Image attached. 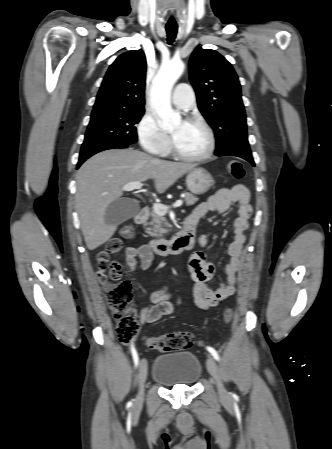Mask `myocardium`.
I'll return each mask as SVG.
<instances>
[{"label": "myocardium", "mask_w": 332, "mask_h": 449, "mask_svg": "<svg viewBox=\"0 0 332 449\" xmlns=\"http://www.w3.org/2000/svg\"><path fill=\"white\" fill-rule=\"evenodd\" d=\"M187 123L196 124L204 130V132L207 136V141H208L207 148L201 154L188 155V154L181 152L176 147L174 141L172 140L171 147H172L173 154L177 158L184 160V161H189V162H200V161H205V160L209 159L213 155V153L215 151V147H216V139H215V135H214L212 128L203 119L198 118V117L189 118L187 120Z\"/></svg>", "instance_id": "obj_1"}]
</instances>
